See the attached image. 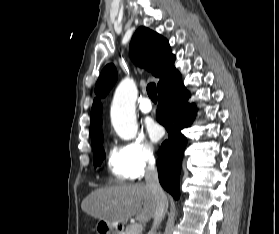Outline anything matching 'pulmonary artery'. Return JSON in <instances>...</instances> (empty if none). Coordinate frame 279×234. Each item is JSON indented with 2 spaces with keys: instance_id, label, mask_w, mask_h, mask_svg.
<instances>
[{
  "instance_id": "obj_1",
  "label": "pulmonary artery",
  "mask_w": 279,
  "mask_h": 234,
  "mask_svg": "<svg viewBox=\"0 0 279 234\" xmlns=\"http://www.w3.org/2000/svg\"><path fill=\"white\" fill-rule=\"evenodd\" d=\"M139 111L143 114H148L152 111V104L148 98H143L139 103Z\"/></svg>"
}]
</instances>
